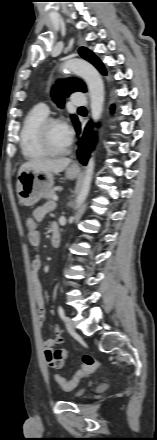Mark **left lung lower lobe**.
Listing matches in <instances>:
<instances>
[{
    "label": "left lung lower lobe",
    "mask_w": 157,
    "mask_h": 440,
    "mask_svg": "<svg viewBox=\"0 0 157 440\" xmlns=\"http://www.w3.org/2000/svg\"><path fill=\"white\" fill-rule=\"evenodd\" d=\"M114 111V107L112 106L111 112ZM93 123L90 122L87 124V126L84 128V130H81L80 123H78L75 126L76 132L79 135L80 134V140L78 142V150L77 155L79 161L86 165L88 158L90 157V151L93 150V147L96 143V136L94 135V132L92 130Z\"/></svg>",
    "instance_id": "0a47b994"
}]
</instances>
